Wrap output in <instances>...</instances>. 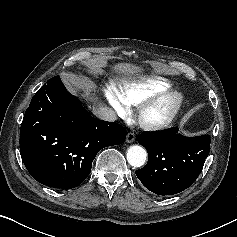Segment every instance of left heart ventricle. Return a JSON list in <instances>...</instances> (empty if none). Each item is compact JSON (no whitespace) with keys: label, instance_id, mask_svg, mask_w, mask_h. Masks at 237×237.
<instances>
[{"label":"left heart ventricle","instance_id":"1","mask_svg":"<svg viewBox=\"0 0 237 237\" xmlns=\"http://www.w3.org/2000/svg\"><path fill=\"white\" fill-rule=\"evenodd\" d=\"M158 115H159V112H155V113L150 114L149 117L153 118V117H157Z\"/></svg>","mask_w":237,"mask_h":237}]
</instances>
